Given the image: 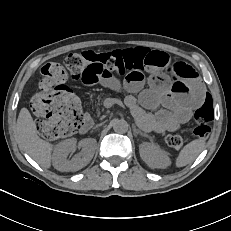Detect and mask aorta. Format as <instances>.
<instances>
[{"label": "aorta", "mask_w": 231, "mask_h": 231, "mask_svg": "<svg viewBox=\"0 0 231 231\" xmlns=\"http://www.w3.org/2000/svg\"><path fill=\"white\" fill-rule=\"evenodd\" d=\"M129 124L123 119L113 120V130L116 133H126L128 131Z\"/></svg>", "instance_id": "1"}]
</instances>
